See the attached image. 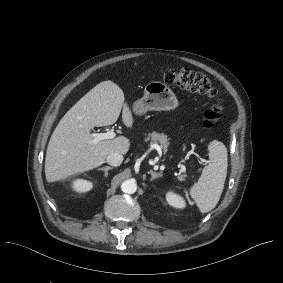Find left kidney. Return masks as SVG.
<instances>
[{
	"label": "left kidney",
	"mask_w": 283,
	"mask_h": 283,
	"mask_svg": "<svg viewBox=\"0 0 283 283\" xmlns=\"http://www.w3.org/2000/svg\"><path fill=\"white\" fill-rule=\"evenodd\" d=\"M166 201L169 205L175 208L182 209L186 206L185 200L173 192H168L166 194Z\"/></svg>",
	"instance_id": "5707ae66"
}]
</instances>
